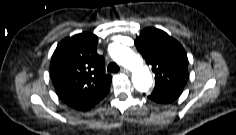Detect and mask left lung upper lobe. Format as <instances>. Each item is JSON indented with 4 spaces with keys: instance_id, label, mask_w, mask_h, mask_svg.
I'll return each instance as SVG.
<instances>
[{
    "instance_id": "1",
    "label": "left lung upper lobe",
    "mask_w": 236,
    "mask_h": 135,
    "mask_svg": "<svg viewBox=\"0 0 236 135\" xmlns=\"http://www.w3.org/2000/svg\"><path fill=\"white\" fill-rule=\"evenodd\" d=\"M142 54L155 73V88L185 86L188 79V58L182 45L156 28H146L135 40Z\"/></svg>"
}]
</instances>
